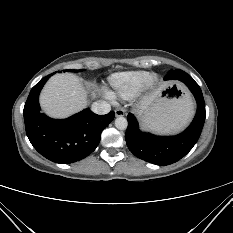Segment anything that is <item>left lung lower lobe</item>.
<instances>
[{
  "label": "left lung lower lobe",
  "instance_id": "left-lung-lower-lobe-1",
  "mask_svg": "<svg viewBox=\"0 0 233 233\" xmlns=\"http://www.w3.org/2000/svg\"><path fill=\"white\" fill-rule=\"evenodd\" d=\"M164 79L183 82L196 99L197 112L190 126L176 136H156L142 132L135 116L128 114L125 139L129 150L136 157L155 165H169L184 157L198 141L206 115L201 89L191 76L177 69L169 71Z\"/></svg>",
  "mask_w": 233,
  "mask_h": 233
}]
</instances>
